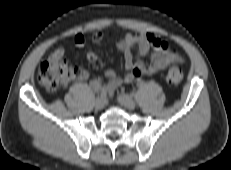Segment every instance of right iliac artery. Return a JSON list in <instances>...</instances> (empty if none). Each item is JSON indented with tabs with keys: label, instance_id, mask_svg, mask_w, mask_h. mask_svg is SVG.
I'll use <instances>...</instances> for the list:
<instances>
[{
	"label": "right iliac artery",
	"instance_id": "obj_1",
	"mask_svg": "<svg viewBox=\"0 0 231 170\" xmlns=\"http://www.w3.org/2000/svg\"><path fill=\"white\" fill-rule=\"evenodd\" d=\"M106 95H107V94H106V91L101 90V91L99 92V94H98V97L104 99V98H106Z\"/></svg>",
	"mask_w": 231,
	"mask_h": 170
}]
</instances>
